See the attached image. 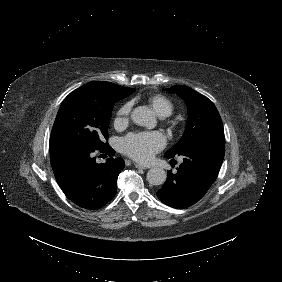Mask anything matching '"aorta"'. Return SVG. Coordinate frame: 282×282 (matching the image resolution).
Segmentation results:
<instances>
[{
	"label": "aorta",
	"mask_w": 282,
	"mask_h": 282,
	"mask_svg": "<svg viewBox=\"0 0 282 282\" xmlns=\"http://www.w3.org/2000/svg\"><path fill=\"white\" fill-rule=\"evenodd\" d=\"M132 120L149 129H153L156 125V118L150 111L148 106H141L132 112ZM167 179L166 171L163 168L155 167L148 171L147 180L152 185H162Z\"/></svg>",
	"instance_id": "1"
}]
</instances>
